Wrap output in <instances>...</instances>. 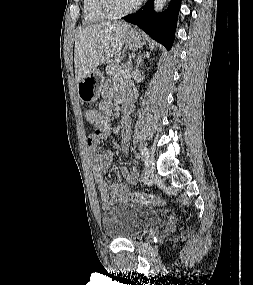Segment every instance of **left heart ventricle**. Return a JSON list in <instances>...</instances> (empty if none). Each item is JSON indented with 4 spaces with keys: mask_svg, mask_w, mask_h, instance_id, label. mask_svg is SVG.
<instances>
[{
    "mask_svg": "<svg viewBox=\"0 0 253 285\" xmlns=\"http://www.w3.org/2000/svg\"><path fill=\"white\" fill-rule=\"evenodd\" d=\"M137 0H110L111 6L115 10H125L131 7Z\"/></svg>",
    "mask_w": 253,
    "mask_h": 285,
    "instance_id": "b2bd125f",
    "label": "left heart ventricle"
}]
</instances>
